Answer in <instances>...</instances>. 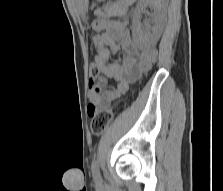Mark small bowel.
<instances>
[{
	"label": "small bowel",
	"mask_w": 223,
	"mask_h": 191,
	"mask_svg": "<svg viewBox=\"0 0 223 191\" xmlns=\"http://www.w3.org/2000/svg\"><path fill=\"white\" fill-rule=\"evenodd\" d=\"M118 12L116 7H107L98 11L99 18L93 22V29L101 31V38L108 49L98 51L95 63L102 75L90 80V104L91 108L107 106L113 99L124 94L130 81L137 78L142 72L150 70L157 61L156 48H142L133 39L131 32L125 23L111 20L110 16ZM119 51L125 53L121 63L110 62V55ZM106 77L117 82L115 89H104Z\"/></svg>",
	"instance_id": "1"
}]
</instances>
